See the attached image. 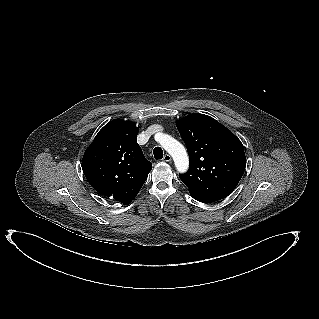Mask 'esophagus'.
<instances>
[{"label":"esophagus","mask_w":319,"mask_h":319,"mask_svg":"<svg viewBox=\"0 0 319 319\" xmlns=\"http://www.w3.org/2000/svg\"><path fill=\"white\" fill-rule=\"evenodd\" d=\"M163 160L165 162H170L171 161V156L169 154H165L164 157H163Z\"/></svg>","instance_id":"34e87169"}]
</instances>
